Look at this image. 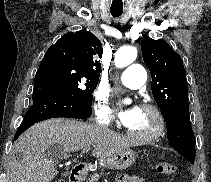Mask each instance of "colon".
I'll return each mask as SVG.
<instances>
[{"mask_svg": "<svg viewBox=\"0 0 211 182\" xmlns=\"http://www.w3.org/2000/svg\"><path fill=\"white\" fill-rule=\"evenodd\" d=\"M157 171L163 175H173L176 172V167L170 163H159L157 165ZM54 182H65L64 180H56Z\"/></svg>", "mask_w": 211, "mask_h": 182, "instance_id": "1", "label": "colon"}]
</instances>
